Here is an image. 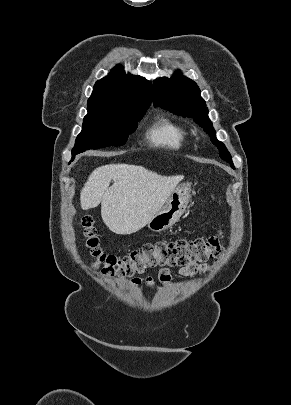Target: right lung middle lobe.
I'll return each mask as SVG.
<instances>
[{
    "label": "right lung middle lobe",
    "mask_w": 291,
    "mask_h": 405,
    "mask_svg": "<svg viewBox=\"0 0 291 405\" xmlns=\"http://www.w3.org/2000/svg\"><path fill=\"white\" fill-rule=\"evenodd\" d=\"M81 133L72 149L74 156L89 149L121 146L137 128L147 108L137 110L87 109Z\"/></svg>",
    "instance_id": "right-lung-middle-lobe-1"
}]
</instances>
